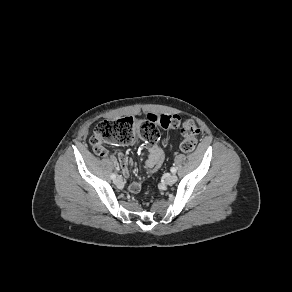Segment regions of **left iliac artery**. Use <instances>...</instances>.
I'll use <instances>...</instances> for the list:
<instances>
[{"label": "left iliac artery", "mask_w": 292, "mask_h": 292, "mask_svg": "<svg viewBox=\"0 0 292 292\" xmlns=\"http://www.w3.org/2000/svg\"><path fill=\"white\" fill-rule=\"evenodd\" d=\"M170 170H171L172 173L176 172V168L175 167H172Z\"/></svg>", "instance_id": "44dca946"}]
</instances>
